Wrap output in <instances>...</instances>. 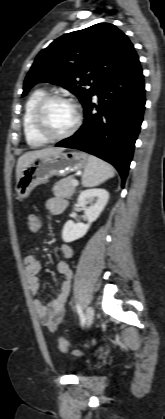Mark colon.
<instances>
[{"mask_svg": "<svg viewBox=\"0 0 165 419\" xmlns=\"http://www.w3.org/2000/svg\"><path fill=\"white\" fill-rule=\"evenodd\" d=\"M28 227L31 232H37L40 228V220L36 215H30L28 218ZM58 348L60 351L68 354H79L80 349L74 348L67 340L64 338L58 339Z\"/></svg>", "mask_w": 165, "mask_h": 419, "instance_id": "colon-1", "label": "colon"}]
</instances>
